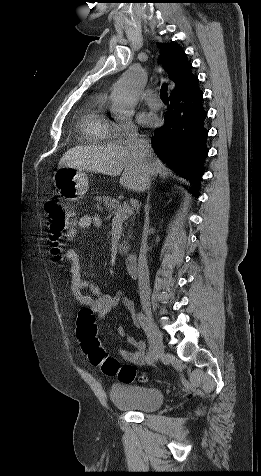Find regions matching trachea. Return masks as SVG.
I'll return each instance as SVG.
<instances>
[{"mask_svg":"<svg viewBox=\"0 0 261 476\" xmlns=\"http://www.w3.org/2000/svg\"><path fill=\"white\" fill-rule=\"evenodd\" d=\"M160 97L163 101H168V86L166 84H163L160 90Z\"/></svg>","mask_w":261,"mask_h":476,"instance_id":"obj_1","label":"trachea"}]
</instances>
